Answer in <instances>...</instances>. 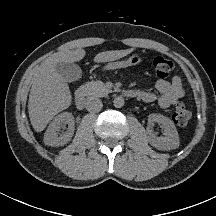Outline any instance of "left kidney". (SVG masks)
Instances as JSON below:
<instances>
[{"label": "left kidney", "instance_id": "left-kidney-1", "mask_svg": "<svg viewBox=\"0 0 216 216\" xmlns=\"http://www.w3.org/2000/svg\"><path fill=\"white\" fill-rule=\"evenodd\" d=\"M149 125L147 127L149 143L159 150H172L179 147V135L174 123L161 114H150L148 116ZM161 124L165 137H156L152 132L153 123Z\"/></svg>", "mask_w": 216, "mask_h": 216}]
</instances>
